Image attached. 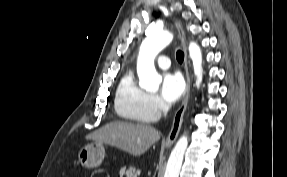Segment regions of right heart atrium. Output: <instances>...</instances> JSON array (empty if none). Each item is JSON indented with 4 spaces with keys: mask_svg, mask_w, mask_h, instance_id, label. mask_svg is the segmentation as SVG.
I'll return each instance as SVG.
<instances>
[{
    "mask_svg": "<svg viewBox=\"0 0 287 177\" xmlns=\"http://www.w3.org/2000/svg\"><path fill=\"white\" fill-rule=\"evenodd\" d=\"M150 108L155 115H158L162 109L161 101L155 95L150 96Z\"/></svg>",
    "mask_w": 287,
    "mask_h": 177,
    "instance_id": "1",
    "label": "right heart atrium"
}]
</instances>
